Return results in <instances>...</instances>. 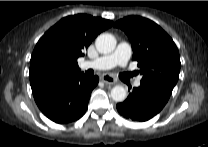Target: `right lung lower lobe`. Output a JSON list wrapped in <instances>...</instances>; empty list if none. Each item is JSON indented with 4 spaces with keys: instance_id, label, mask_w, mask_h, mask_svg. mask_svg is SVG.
I'll return each instance as SVG.
<instances>
[{
    "instance_id": "98d812e1",
    "label": "right lung lower lobe",
    "mask_w": 208,
    "mask_h": 147,
    "mask_svg": "<svg viewBox=\"0 0 208 147\" xmlns=\"http://www.w3.org/2000/svg\"><path fill=\"white\" fill-rule=\"evenodd\" d=\"M99 78L83 73L64 81L33 91L34 99L42 113L50 120L65 124L84 115L92 90Z\"/></svg>"
}]
</instances>
